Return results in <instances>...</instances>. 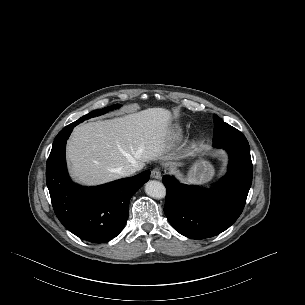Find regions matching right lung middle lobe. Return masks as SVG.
Here are the masks:
<instances>
[{
  "label": "right lung middle lobe",
  "instance_id": "right-lung-middle-lobe-1",
  "mask_svg": "<svg viewBox=\"0 0 305 305\" xmlns=\"http://www.w3.org/2000/svg\"><path fill=\"white\" fill-rule=\"evenodd\" d=\"M120 106H121V105H119V104H115V105H112V106H110V107H105V108H103L102 110H95V111H92V112H90L89 114H87V115L81 117L80 120H81V121H84V120H87V119H89V118H91V117H95V116L102 115V114H104V113L109 112V111L112 110V109H117V108H119Z\"/></svg>",
  "mask_w": 305,
  "mask_h": 305
}]
</instances>
